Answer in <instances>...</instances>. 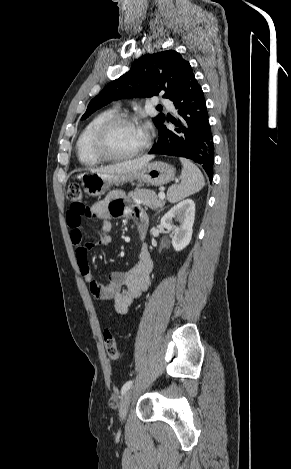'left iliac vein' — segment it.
<instances>
[{
	"instance_id": "1",
	"label": "left iliac vein",
	"mask_w": 291,
	"mask_h": 469,
	"mask_svg": "<svg viewBox=\"0 0 291 469\" xmlns=\"http://www.w3.org/2000/svg\"><path fill=\"white\" fill-rule=\"evenodd\" d=\"M132 397V390H128L121 398L119 416L120 420L124 421L128 412V407Z\"/></svg>"
}]
</instances>
